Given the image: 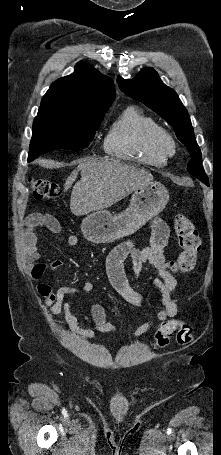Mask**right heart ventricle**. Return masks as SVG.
<instances>
[{"label": "right heart ventricle", "mask_w": 221, "mask_h": 455, "mask_svg": "<svg viewBox=\"0 0 221 455\" xmlns=\"http://www.w3.org/2000/svg\"><path fill=\"white\" fill-rule=\"evenodd\" d=\"M161 127L136 106L125 108L107 131L103 147L107 155L139 164L160 166L167 155L157 137Z\"/></svg>", "instance_id": "right-heart-ventricle-1"}]
</instances>
